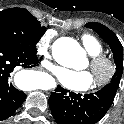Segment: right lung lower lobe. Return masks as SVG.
Wrapping results in <instances>:
<instances>
[{
	"mask_svg": "<svg viewBox=\"0 0 124 124\" xmlns=\"http://www.w3.org/2000/svg\"><path fill=\"white\" fill-rule=\"evenodd\" d=\"M38 63L36 51L22 45L0 42V121L12 116L26 98L10 83L12 72L20 67L37 66Z\"/></svg>",
	"mask_w": 124,
	"mask_h": 124,
	"instance_id": "1",
	"label": "right lung lower lobe"
}]
</instances>
